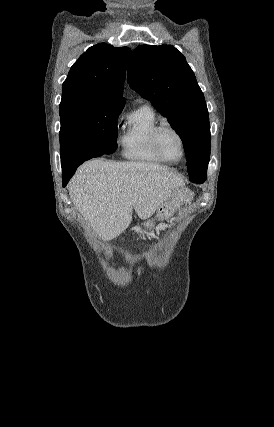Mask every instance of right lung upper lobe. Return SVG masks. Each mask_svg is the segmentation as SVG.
<instances>
[{
	"instance_id": "cb5924a9",
	"label": "right lung upper lobe",
	"mask_w": 274,
	"mask_h": 427,
	"mask_svg": "<svg viewBox=\"0 0 274 427\" xmlns=\"http://www.w3.org/2000/svg\"><path fill=\"white\" fill-rule=\"evenodd\" d=\"M128 47L99 43L90 47L71 67L63 83L60 108L83 102H121Z\"/></svg>"
}]
</instances>
